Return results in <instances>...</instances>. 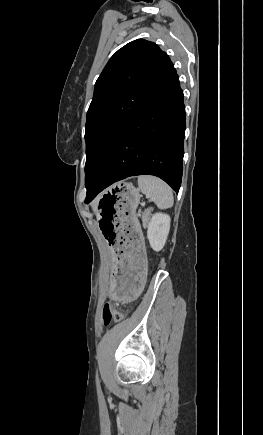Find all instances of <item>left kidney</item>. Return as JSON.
Returning <instances> with one entry per match:
<instances>
[{
	"label": "left kidney",
	"mask_w": 263,
	"mask_h": 435,
	"mask_svg": "<svg viewBox=\"0 0 263 435\" xmlns=\"http://www.w3.org/2000/svg\"><path fill=\"white\" fill-rule=\"evenodd\" d=\"M170 216L163 213H155L147 227V237L150 246L155 251H160L167 240L170 230Z\"/></svg>",
	"instance_id": "1"
}]
</instances>
